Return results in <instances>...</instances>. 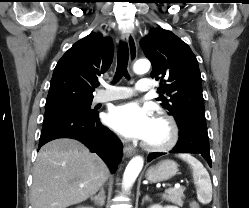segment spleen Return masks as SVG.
Instances as JSON below:
<instances>
[{
	"label": "spleen",
	"instance_id": "3e777b00",
	"mask_svg": "<svg viewBox=\"0 0 249 208\" xmlns=\"http://www.w3.org/2000/svg\"><path fill=\"white\" fill-rule=\"evenodd\" d=\"M193 170V179L197 189V199L202 204H208L212 200V183L208 171L195 157L190 154H179Z\"/></svg>",
	"mask_w": 249,
	"mask_h": 208
}]
</instances>
